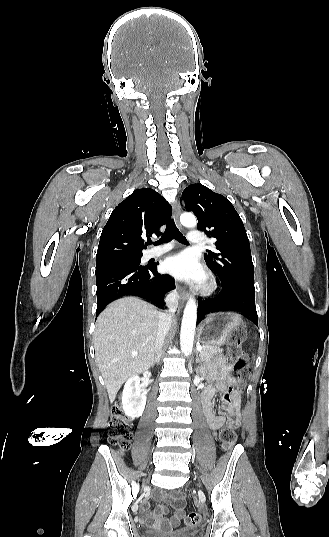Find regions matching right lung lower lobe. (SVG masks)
I'll return each mask as SVG.
<instances>
[{
	"label": "right lung lower lobe",
	"mask_w": 329,
	"mask_h": 537,
	"mask_svg": "<svg viewBox=\"0 0 329 537\" xmlns=\"http://www.w3.org/2000/svg\"><path fill=\"white\" fill-rule=\"evenodd\" d=\"M96 318L111 301L122 296H139L158 307H164V296L175 288L170 275L157 272V264L107 262L96 265Z\"/></svg>",
	"instance_id": "1"
}]
</instances>
